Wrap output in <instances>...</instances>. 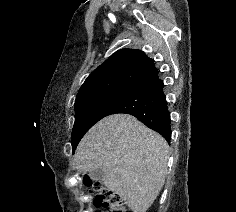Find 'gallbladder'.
Here are the masks:
<instances>
[{
    "mask_svg": "<svg viewBox=\"0 0 236 212\" xmlns=\"http://www.w3.org/2000/svg\"><path fill=\"white\" fill-rule=\"evenodd\" d=\"M89 176L95 181H103L105 178V172L101 168H97L89 172Z\"/></svg>",
    "mask_w": 236,
    "mask_h": 212,
    "instance_id": "gallbladder-1",
    "label": "gallbladder"
}]
</instances>
